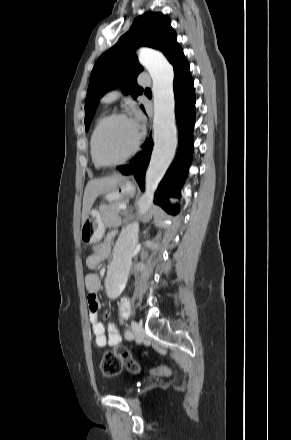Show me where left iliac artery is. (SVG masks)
<instances>
[{
	"mask_svg": "<svg viewBox=\"0 0 291 440\" xmlns=\"http://www.w3.org/2000/svg\"><path fill=\"white\" fill-rule=\"evenodd\" d=\"M125 337H126L127 339H132V338H133V335H132L131 332H129V331H125Z\"/></svg>",
	"mask_w": 291,
	"mask_h": 440,
	"instance_id": "left-iliac-artery-1",
	"label": "left iliac artery"
}]
</instances>
